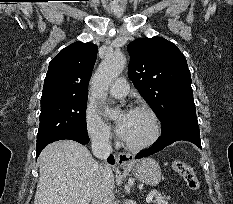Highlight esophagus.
Here are the masks:
<instances>
[{"label":"esophagus","instance_id":"obj_1","mask_svg":"<svg viewBox=\"0 0 233 204\" xmlns=\"http://www.w3.org/2000/svg\"><path fill=\"white\" fill-rule=\"evenodd\" d=\"M116 162L119 166H130L133 163V156L128 153H119L116 157Z\"/></svg>","mask_w":233,"mask_h":204}]
</instances>
